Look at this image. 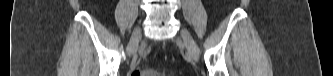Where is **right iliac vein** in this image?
Listing matches in <instances>:
<instances>
[{"label": "right iliac vein", "mask_w": 333, "mask_h": 76, "mask_svg": "<svg viewBox=\"0 0 333 76\" xmlns=\"http://www.w3.org/2000/svg\"><path fill=\"white\" fill-rule=\"evenodd\" d=\"M141 38V29L136 28L134 32L132 33V36L130 38L129 44H128V52L129 54H133L135 52V49L137 47L138 41Z\"/></svg>", "instance_id": "1"}]
</instances>
